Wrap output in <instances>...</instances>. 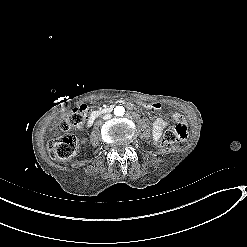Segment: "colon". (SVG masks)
Here are the masks:
<instances>
[{
    "label": "colon",
    "instance_id": "1",
    "mask_svg": "<svg viewBox=\"0 0 247 247\" xmlns=\"http://www.w3.org/2000/svg\"><path fill=\"white\" fill-rule=\"evenodd\" d=\"M145 109H151L152 111H160L163 108L162 103L158 101L151 102L145 100L143 102ZM88 116V109L85 106L72 111V113L65 118L60 124V131L64 133L61 137H52L46 143L47 150L51 155L59 160L65 161L73 158L76 155V137L75 129L81 126ZM187 137V127L183 123H178L169 128L163 136V143L165 145H173L177 141H183Z\"/></svg>",
    "mask_w": 247,
    "mask_h": 247
}]
</instances>
